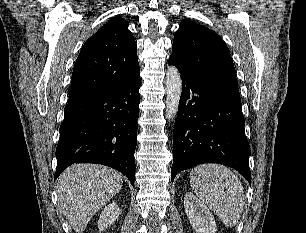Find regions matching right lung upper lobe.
I'll list each match as a JSON object with an SVG mask.
<instances>
[{
    "mask_svg": "<svg viewBox=\"0 0 306 233\" xmlns=\"http://www.w3.org/2000/svg\"><path fill=\"white\" fill-rule=\"evenodd\" d=\"M129 23L111 18L83 45L76 60L68 104L105 94L138 70L137 46Z\"/></svg>",
    "mask_w": 306,
    "mask_h": 233,
    "instance_id": "cb5924a9",
    "label": "right lung upper lobe"
}]
</instances>
